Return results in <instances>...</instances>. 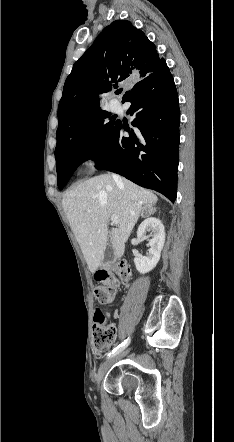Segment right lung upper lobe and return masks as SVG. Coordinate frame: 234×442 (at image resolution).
<instances>
[{
  "instance_id": "right-lung-upper-lobe-1",
  "label": "right lung upper lobe",
  "mask_w": 234,
  "mask_h": 442,
  "mask_svg": "<svg viewBox=\"0 0 234 442\" xmlns=\"http://www.w3.org/2000/svg\"><path fill=\"white\" fill-rule=\"evenodd\" d=\"M164 63L156 46L131 22H112L75 62L65 81L58 107L56 147L67 141L86 117L101 110L99 94L133 77L144 80Z\"/></svg>"
}]
</instances>
